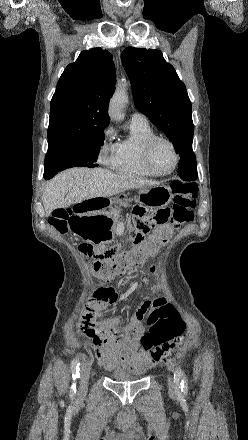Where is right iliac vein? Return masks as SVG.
<instances>
[{
  "label": "right iliac vein",
  "mask_w": 248,
  "mask_h": 440,
  "mask_svg": "<svg viewBox=\"0 0 248 440\" xmlns=\"http://www.w3.org/2000/svg\"><path fill=\"white\" fill-rule=\"evenodd\" d=\"M90 376V368L87 363H83L81 367V380H80V387H79V393L84 394L86 392L88 381Z\"/></svg>",
  "instance_id": "1"
}]
</instances>
